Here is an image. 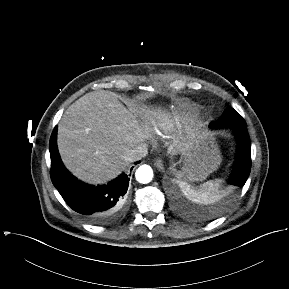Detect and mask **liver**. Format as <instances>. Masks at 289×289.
Here are the masks:
<instances>
[{"label":"liver","mask_w":289,"mask_h":289,"mask_svg":"<svg viewBox=\"0 0 289 289\" xmlns=\"http://www.w3.org/2000/svg\"><path fill=\"white\" fill-rule=\"evenodd\" d=\"M161 110L126 108L111 91H92L76 100L58 124L57 146L66 168L89 184H104L130 165L125 156L152 137Z\"/></svg>","instance_id":"1"}]
</instances>
